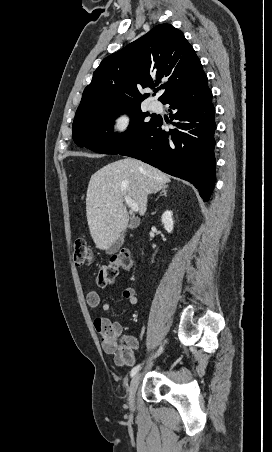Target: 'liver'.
Listing matches in <instances>:
<instances>
[{"instance_id": "liver-1", "label": "liver", "mask_w": 272, "mask_h": 452, "mask_svg": "<svg viewBox=\"0 0 272 452\" xmlns=\"http://www.w3.org/2000/svg\"><path fill=\"white\" fill-rule=\"evenodd\" d=\"M170 177L142 161L125 158L99 169L89 181L86 215L91 237L97 248L107 250L126 229L129 215L124 197H130L143 216L147 197L156 193Z\"/></svg>"}]
</instances>
